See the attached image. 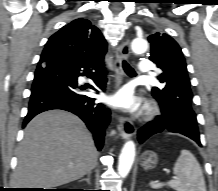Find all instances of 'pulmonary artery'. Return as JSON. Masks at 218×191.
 Listing matches in <instances>:
<instances>
[{
    "label": "pulmonary artery",
    "instance_id": "pulmonary-artery-1",
    "mask_svg": "<svg viewBox=\"0 0 218 191\" xmlns=\"http://www.w3.org/2000/svg\"><path fill=\"white\" fill-rule=\"evenodd\" d=\"M150 60H143L138 65V75L148 74L150 70Z\"/></svg>",
    "mask_w": 218,
    "mask_h": 191
}]
</instances>
